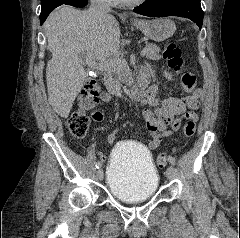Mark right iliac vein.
<instances>
[{"label": "right iliac vein", "instance_id": "right-iliac-vein-1", "mask_svg": "<svg viewBox=\"0 0 240 238\" xmlns=\"http://www.w3.org/2000/svg\"><path fill=\"white\" fill-rule=\"evenodd\" d=\"M97 178L102 181L103 178H104V173H103V170L102 169H98L97 171Z\"/></svg>", "mask_w": 240, "mask_h": 238}]
</instances>
